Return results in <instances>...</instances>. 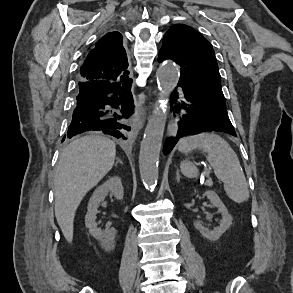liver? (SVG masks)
Returning <instances> with one entry per match:
<instances>
[{
	"mask_svg": "<svg viewBox=\"0 0 293 293\" xmlns=\"http://www.w3.org/2000/svg\"><path fill=\"white\" fill-rule=\"evenodd\" d=\"M115 156V143L99 135L78 138L62 152L54 178L55 216L68 242L79 204L112 169Z\"/></svg>",
	"mask_w": 293,
	"mask_h": 293,
	"instance_id": "liver-1",
	"label": "liver"
}]
</instances>
